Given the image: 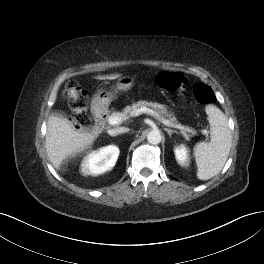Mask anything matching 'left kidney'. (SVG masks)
Returning a JSON list of instances; mask_svg holds the SVG:
<instances>
[{
    "instance_id": "obj_1",
    "label": "left kidney",
    "mask_w": 264,
    "mask_h": 264,
    "mask_svg": "<svg viewBox=\"0 0 264 264\" xmlns=\"http://www.w3.org/2000/svg\"><path fill=\"white\" fill-rule=\"evenodd\" d=\"M175 158L181 166L188 165V150L184 145L175 147Z\"/></svg>"
}]
</instances>
